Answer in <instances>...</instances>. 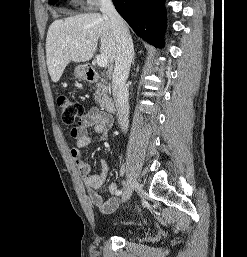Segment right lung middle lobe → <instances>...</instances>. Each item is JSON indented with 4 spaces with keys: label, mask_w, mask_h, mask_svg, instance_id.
I'll return each mask as SVG.
<instances>
[{
    "label": "right lung middle lobe",
    "mask_w": 247,
    "mask_h": 257,
    "mask_svg": "<svg viewBox=\"0 0 247 257\" xmlns=\"http://www.w3.org/2000/svg\"><path fill=\"white\" fill-rule=\"evenodd\" d=\"M52 4L56 3L58 0H50Z\"/></svg>",
    "instance_id": "dd1d6c3e"
}]
</instances>
